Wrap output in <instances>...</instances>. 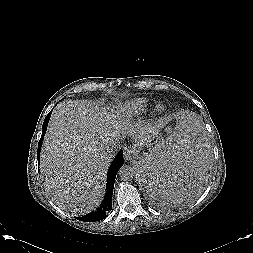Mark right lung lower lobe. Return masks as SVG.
Instances as JSON below:
<instances>
[{
	"instance_id": "98d812e1",
	"label": "right lung lower lobe",
	"mask_w": 253,
	"mask_h": 253,
	"mask_svg": "<svg viewBox=\"0 0 253 253\" xmlns=\"http://www.w3.org/2000/svg\"><path fill=\"white\" fill-rule=\"evenodd\" d=\"M52 114V110L48 113L46 116L43 126H42V135L38 144V150H37V159L39 161L40 157V150L42 146V141L44 139L48 122L50 119V116ZM123 166V151L121 150L114 158L113 162L111 163L109 169H108V175H107V188L105 197L99 206V208L96 209L95 212H91L83 217H78L77 219L85 222H95L100 221L107 217V213L112 209V195H113V188H114V182L116 178V174L118 170Z\"/></svg>"
}]
</instances>
